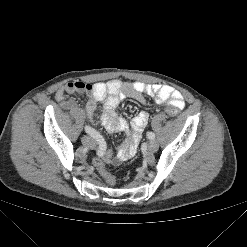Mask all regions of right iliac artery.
Masks as SVG:
<instances>
[{
	"label": "right iliac artery",
	"mask_w": 247,
	"mask_h": 247,
	"mask_svg": "<svg viewBox=\"0 0 247 247\" xmlns=\"http://www.w3.org/2000/svg\"><path fill=\"white\" fill-rule=\"evenodd\" d=\"M85 131L98 142L99 146L96 148V153L99 156H104L107 153V148L105 147L106 145L102 136L95 129L87 125L85 126Z\"/></svg>",
	"instance_id": "82829eb1"
}]
</instances>
